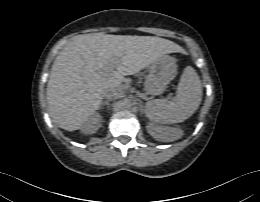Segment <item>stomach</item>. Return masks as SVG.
Wrapping results in <instances>:
<instances>
[{
  "mask_svg": "<svg viewBox=\"0 0 260 202\" xmlns=\"http://www.w3.org/2000/svg\"><path fill=\"white\" fill-rule=\"evenodd\" d=\"M176 74V64L174 60L163 55L155 60L145 78L144 88L147 94L156 96L164 92L167 84Z\"/></svg>",
  "mask_w": 260,
  "mask_h": 202,
  "instance_id": "stomach-1",
  "label": "stomach"
}]
</instances>
